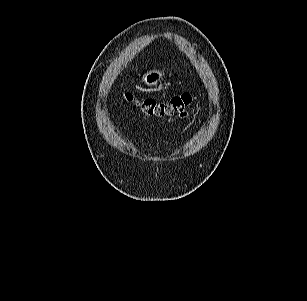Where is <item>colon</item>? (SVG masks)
I'll return each mask as SVG.
<instances>
[{"instance_id":"1","label":"colon","mask_w":307,"mask_h":301,"mask_svg":"<svg viewBox=\"0 0 307 301\" xmlns=\"http://www.w3.org/2000/svg\"><path fill=\"white\" fill-rule=\"evenodd\" d=\"M125 97L135 109L139 110L146 117L163 120L184 116L193 102V96L189 92L175 95L165 101L135 99L130 94H127Z\"/></svg>"}]
</instances>
